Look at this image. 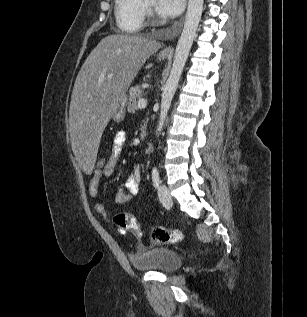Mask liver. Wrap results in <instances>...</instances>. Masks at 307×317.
<instances>
[{
    "label": "liver",
    "mask_w": 307,
    "mask_h": 317,
    "mask_svg": "<svg viewBox=\"0 0 307 317\" xmlns=\"http://www.w3.org/2000/svg\"><path fill=\"white\" fill-rule=\"evenodd\" d=\"M160 47L149 37L112 34L98 43L82 65L71 96L69 131L83 175H91L94 170L97 146L118 102Z\"/></svg>",
    "instance_id": "obj_1"
}]
</instances>
